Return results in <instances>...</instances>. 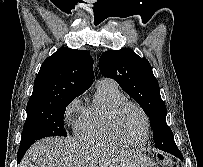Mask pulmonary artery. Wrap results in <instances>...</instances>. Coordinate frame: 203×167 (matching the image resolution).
I'll list each match as a JSON object with an SVG mask.
<instances>
[{"mask_svg": "<svg viewBox=\"0 0 203 167\" xmlns=\"http://www.w3.org/2000/svg\"><path fill=\"white\" fill-rule=\"evenodd\" d=\"M108 81H111V80H108V79H102V80L99 81V84H100V83H104V82H108Z\"/></svg>", "mask_w": 203, "mask_h": 167, "instance_id": "1", "label": "pulmonary artery"}]
</instances>
